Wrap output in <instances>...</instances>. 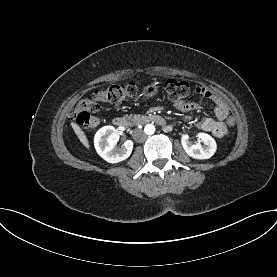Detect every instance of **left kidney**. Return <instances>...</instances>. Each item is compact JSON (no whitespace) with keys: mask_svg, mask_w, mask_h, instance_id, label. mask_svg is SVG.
<instances>
[{"mask_svg":"<svg viewBox=\"0 0 277 277\" xmlns=\"http://www.w3.org/2000/svg\"><path fill=\"white\" fill-rule=\"evenodd\" d=\"M198 139L204 143L202 146L200 143L193 144L188 135H183L181 138L182 146L185 152L192 158L195 159H209L211 158L217 149L215 140L206 133H199Z\"/></svg>","mask_w":277,"mask_h":277,"instance_id":"1","label":"left kidney"}]
</instances>
